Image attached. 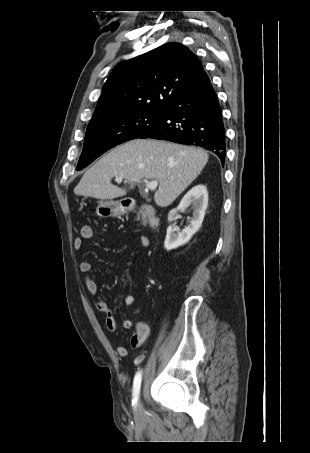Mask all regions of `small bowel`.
Segmentation results:
<instances>
[{"label": "small bowel", "instance_id": "1", "mask_svg": "<svg viewBox=\"0 0 310 453\" xmlns=\"http://www.w3.org/2000/svg\"><path fill=\"white\" fill-rule=\"evenodd\" d=\"M85 239L86 238L83 236L76 237L73 242L74 248L81 249ZM141 242L144 247L148 246V239L145 236L141 237ZM79 268L82 273L86 274L84 282H85L87 291L91 295H96L98 293V285L95 282V280L88 275V273L92 269L91 262L88 260H84L80 263ZM123 303L125 306H131L134 303V297L131 294L125 295L123 297ZM95 305H96L97 310L100 313L104 314V322H105L106 328L111 332H115L118 328V324H117L115 316H114L112 310L110 309L109 305L107 304V302L102 299H99ZM121 325L125 329H130L134 326L133 322L129 319H123L121 322ZM148 335H149V326L144 322L136 323L135 332L130 339L131 346L133 348L140 347L145 342ZM116 351L120 357H125L128 354V350H127L126 346L123 344L118 345L116 348Z\"/></svg>", "mask_w": 310, "mask_h": 453}]
</instances>
